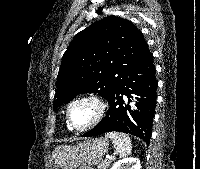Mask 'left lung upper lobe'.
I'll use <instances>...</instances> for the list:
<instances>
[{
    "instance_id": "obj_1",
    "label": "left lung upper lobe",
    "mask_w": 200,
    "mask_h": 169,
    "mask_svg": "<svg viewBox=\"0 0 200 169\" xmlns=\"http://www.w3.org/2000/svg\"><path fill=\"white\" fill-rule=\"evenodd\" d=\"M147 51L143 34L131 21L108 16L93 23L74 36L63 55L54 108L80 93L107 99Z\"/></svg>"
}]
</instances>
